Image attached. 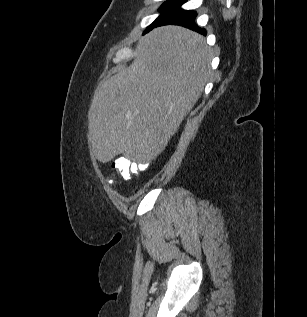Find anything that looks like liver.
<instances>
[{"instance_id":"6515ba94","label":"liver","mask_w":307,"mask_h":317,"mask_svg":"<svg viewBox=\"0 0 307 317\" xmlns=\"http://www.w3.org/2000/svg\"><path fill=\"white\" fill-rule=\"evenodd\" d=\"M211 59L204 37L183 27L163 26L145 35L132 64L94 94L88 140L97 159L156 158L200 98Z\"/></svg>"}]
</instances>
